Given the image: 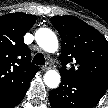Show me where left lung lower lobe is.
Returning <instances> with one entry per match:
<instances>
[{"instance_id":"1","label":"left lung lower lobe","mask_w":108,"mask_h":108,"mask_svg":"<svg viewBox=\"0 0 108 108\" xmlns=\"http://www.w3.org/2000/svg\"><path fill=\"white\" fill-rule=\"evenodd\" d=\"M108 88L107 83L61 76V85L49 93L52 108H93Z\"/></svg>"}]
</instances>
